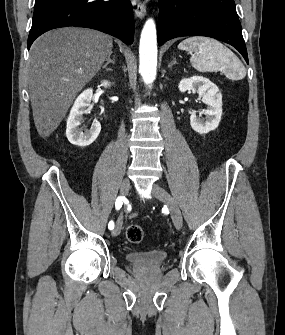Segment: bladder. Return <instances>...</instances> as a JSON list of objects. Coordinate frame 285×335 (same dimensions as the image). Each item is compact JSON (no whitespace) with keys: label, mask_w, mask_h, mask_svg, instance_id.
Returning a JSON list of instances; mask_svg holds the SVG:
<instances>
[{"label":"bladder","mask_w":285,"mask_h":335,"mask_svg":"<svg viewBox=\"0 0 285 335\" xmlns=\"http://www.w3.org/2000/svg\"><path fill=\"white\" fill-rule=\"evenodd\" d=\"M123 258L131 268L152 270L157 266L165 265L169 259V254L166 250L126 251Z\"/></svg>","instance_id":"31cf9c89"}]
</instances>
